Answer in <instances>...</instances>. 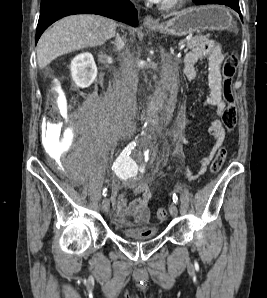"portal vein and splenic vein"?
<instances>
[{"instance_id":"1","label":"portal vein and splenic vein","mask_w":267,"mask_h":298,"mask_svg":"<svg viewBox=\"0 0 267 298\" xmlns=\"http://www.w3.org/2000/svg\"><path fill=\"white\" fill-rule=\"evenodd\" d=\"M184 47H185V44L183 43L180 45L179 50H182Z\"/></svg>"}]
</instances>
